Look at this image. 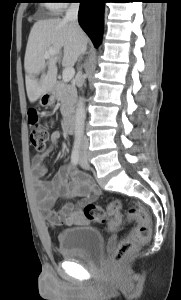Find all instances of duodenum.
Segmentation results:
<instances>
[{"instance_id": "410a0bca", "label": "duodenum", "mask_w": 181, "mask_h": 300, "mask_svg": "<svg viewBox=\"0 0 181 300\" xmlns=\"http://www.w3.org/2000/svg\"><path fill=\"white\" fill-rule=\"evenodd\" d=\"M47 94L50 95L51 92L47 91ZM64 129L68 134H72L74 132V119L72 116H70V115L65 116Z\"/></svg>"}]
</instances>
